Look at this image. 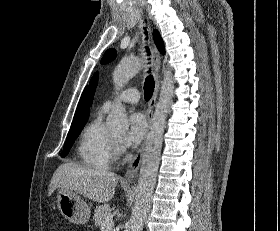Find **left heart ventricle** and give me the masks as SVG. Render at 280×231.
Instances as JSON below:
<instances>
[{"mask_svg": "<svg viewBox=\"0 0 280 231\" xmlns=\"http://www.w3.org/2000/svg\"><path fill=\"white\" fill-rule=\"evenodd\" d=\"M113 135H114V137H115V138H118V137H120L119 135H115V134H113Z\"/></svg>", "mask_w": 280, "mask_h": 231, "instance_id": "obj_1", "label": "left heart ventricle"}]
</instances>
